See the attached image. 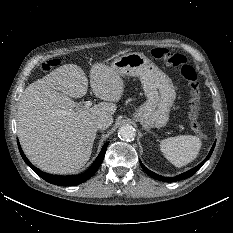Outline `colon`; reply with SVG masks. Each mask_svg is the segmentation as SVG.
<instances>
[{"label": "colon", "instance_id": "1", "mask_svg": "<svg viewBox=\"0 0 233 233\" xmlns=\"http://www.w3.org/2000/svg\"><path fill=\"white\" fill-rule=\"evenodd\" d=\"M155 59L164 61L167 65L178 68L181 77L187 82L190 90L189 99V118L192 130L199 136L203 135L201 124L199 122V110L201 105L200 89L198 77L195 69L188 64L187 59L182 54L173 53L166 48L156 47L150 51ZM62 62L61 58H54L45 61L42 64L44 71H50Z\"/></svg>", "mask_w": 233, "mask_h": 233}]
</instances>
